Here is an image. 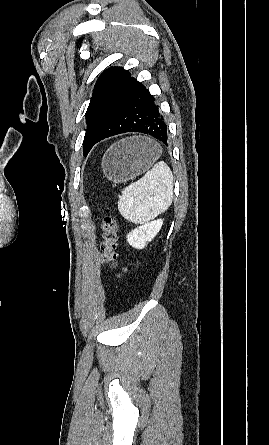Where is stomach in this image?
I'll return each mask as SVG.
<instances>
[{
	"label": "stomach",
	"mask_w": 269,
	"mask_h": 445,
	"mask_svg": "<svg viewBox=\"0 0 269 445\" xmlns=\"http://www.w3.org/2000/svg\"><path fill=\"white\" fill-rule=\"evenodd\" d=\"M159 153V146L151 140L127 138L113 144L106 151L101 167L108 180L122 183L151 167Z\"/></svg>",
	"instance_id": "stomach-1"
}]
</instances>
